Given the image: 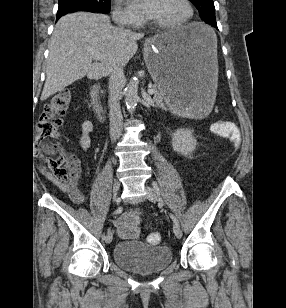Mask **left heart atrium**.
<instances>
[{"label":"left heart atrium","mask_w":286,"mask_h":308,"mask_svg":"<svg viewBox=\"0 0 286 308\" xmlns=\"http://www.w3.org/2000/svg\"><path fill=\"white\" fill-rule=\"evenodd\" d=\"M157 0H128V5L139 15L151 17L154 14Z\"/></svg>","instance_id":"left-heart-atrium-1"}]
</instances>
